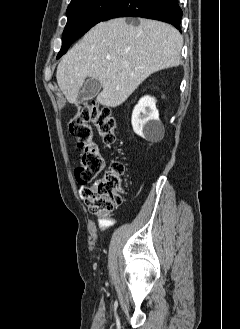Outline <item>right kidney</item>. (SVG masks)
<instances>
[{
  "label": "right kidney",
  "instance_id": "ca27d5eb",
  "mask_svg": "<svg viewBox=\"0 0 240 329\" xmlns=\"http://www.w3.org/2000/svg\"><path fill=\"white\" fill-rule=\"evenodd\" d=\"M131 122L134 132L144 139L160 138L164 134V126L153 97L144 96L139 100L134 107Z\"/></svg>",
  "mask_w": 240,
  "mask_h": 329
}]
</instances>
